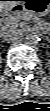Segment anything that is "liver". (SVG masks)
<instances>
[{
  "instance_id": "1",
  "label": "liver",
  "mask_w": 50,
  "mask_h": 111,
  "mask_svg": "<svg viewBox=\"0 0 50 111\" xmlns=\"http://www.w3.org/2000/svg\"><path fill=\"white\" fill-rule=\"evenodd\" d=\"M18 4H19V2L16 0L1 1L0 10H1V12H8L9 10L14 8Z\"/></svg>"
}]
</instances>
